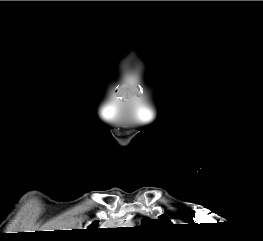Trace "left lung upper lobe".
Masks as SVG:
<instances>
[{
    "label": "left lung upper lobe",
    "instance_id": "obj_1",
    "mask_svg": "<svg viewBox=\"0 0 263 241\" xmlns=\"http://www.w3.org/2000/svg\"><path fill=\"white\" fill-rule=\"evenodd\" d=\"M142 224L144 226H150V227H155V228H160L164 227L166 225L172 224L168 219L166 218H160L158 220H152L148 217L143 218Z\"/></svg>",
    "mask_w": 263,
    "mask_h": 241
}]
</instances>
